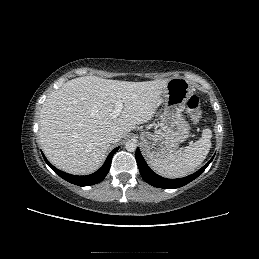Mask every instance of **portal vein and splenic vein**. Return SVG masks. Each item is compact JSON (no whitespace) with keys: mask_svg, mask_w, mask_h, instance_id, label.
<instances>
[{"mask_svg":"<svg viewBox=\"0 0 259 259\" xmlns=\"http://www.w3.org/2000/svg\"><path fill=\"white\" fill-rule=\"evenodd\" d=\"M122 110H123V103H122V101H117L115 103V107H114V109H113V111L111 113V116L114 117V118L118 117L121 114Z\"/></svg>","mask_w":259,"mask_h":259,"instance_id":"obj_1","label":"portal vein and splenic vein"}]
</instances>
